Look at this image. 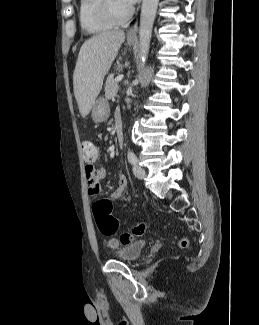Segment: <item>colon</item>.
<instances>
[{"mask_svg":"<svg viewBox=\"0 0 259 325\" xmlns=\"http://www.w3.org/2000/svg\"><path fill=\"white\" fill-rule=\"evenodd\" d=\"M82 155L84 161H94L98 155L97 147L89 140L82 143ZM93 215L99 231L105 236H112L117 233L119 229V221L113 216V205L108 199H101L93 204ZM147 229V225L139 222L129 232H123L117 239H110L107 245L110 248L127 245L133 242L136 238L142 236ZM181 248L188 246V240L182 238L179 242Z\"/></svg>","mask_w":259,"mask_h":325,"instance_id":"colon-1","label":"colon"}]
</instances>
